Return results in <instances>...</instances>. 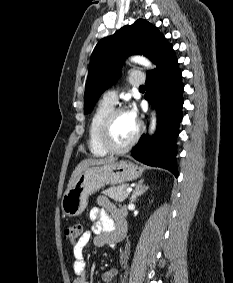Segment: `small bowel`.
<instances>
[{"label":"small bowel","instance_id":"1","mask_svg":"<svg viewBox=\"0 0 233 283\" xmlns=\"http://www.w3.org/2000/svg\"><path fill=\"white\" fill-rule=\"evenodd\" d=\"M99 206L90 210L92 227L86 230L73 247V283H89L86 278L87 262L84 256L85 248L91 242L94 247L115 246L114 233L120 221L125 222L123 212L104 197L96 200ZM117 271L108 270L102 274L105 283L116 282Z\"/></svg>","mask_w":233,"mask_h":283}]
</instances>
